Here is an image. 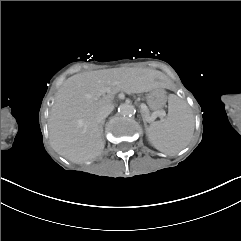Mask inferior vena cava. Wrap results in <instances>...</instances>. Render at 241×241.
Masks as SVG:
<instances>
[{
	"mask_svg": "<svg viewBox=\"0 0 241 241\" xmlns=\"http://www.w3.org/2000/svg\"><path fill=\"white\" fill-rule=\"evenodd\" d=\"M114 106L111 105L107 107L106 109L101 110L97 115H96V122L101 125L104 123L105 118L113 111Z\"/></svg>",
	"mask_w": 241,
	"mask_h": 241,
	"instance_id": "602c4592",
	"label": "inferior vena cava"
}]
</instances>
